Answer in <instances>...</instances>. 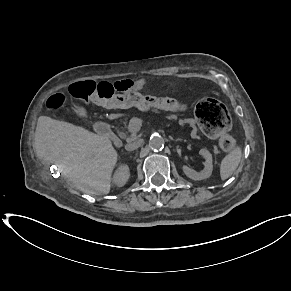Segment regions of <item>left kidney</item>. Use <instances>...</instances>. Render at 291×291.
Returning a JSON list of instances; mask_svg holds the SVG:
<instances>
[{
    "mask_svg": "<svg viewBox=\"0 0 291 291\" xmlns=\"http://www.w3.org/2000/svg\"><path fill=\"white\" fill-rule=\"evenodd\" d=\"M199 154L205 158V167L201 172H196L194 169H191L188 166H183V172L185 175L193 180H203L209 178L213 170L211 153L206 149H201Z\"/></svg>",
    "mask_w": 291,
    "mask_h": 291,
    "instance_id": "5707ae66",
    "label": "left kidney"
}]
</instances>
